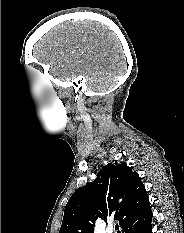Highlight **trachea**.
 Returning a JSON list of instances; mask_svg holds the SVG:
<instances>
[{
  "instance_id": "trachea-1",
  "label": "trachea",
  "mask_w": 184,
  "mask_h": 233,
  "mask_svg": "<svg viewBox=\"0 0 184 233\" xmlns=\"http://www.w3.org/2000/svg\"><path fill=\"white\" fill-rule=\"evenodd\" d=\"M115 230L117 231V233H121V232L119 231V225H118V224L115 225Z\"/></svg>"
}]
</instances>
